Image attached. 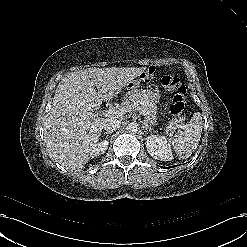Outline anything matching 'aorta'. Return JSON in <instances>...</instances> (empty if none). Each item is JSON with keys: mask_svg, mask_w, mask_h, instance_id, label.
<instances>
[{"mask_svg": "<svg viewBox=\"0 0 247 247\" xmlns=\"http://www.w3.org/2000/svg\"><path fill=\"white\" fill-rule=\"evenodd\" d=\"M126 130L129 133H136L138 131V123L135 121L129 122L126 126Z\"/></svg>", "mask_w": 247, "mask_h": 247, "instance_id": "aorta-1", "label": "aorta"}]
</instances>
